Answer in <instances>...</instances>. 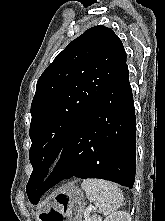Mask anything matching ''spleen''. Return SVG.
<instances>
[{
	"instance_id": "1",
	"label": "spleen",
	"mask_w": 165,
	"mask_h": 221,
	"mask_svg": "<svg viewBox=\"0 0 165 221\" xmlns=\"http://www.w3.org/2000/svg\"><path fill=\"white\" fill-rule=\"evenodd\" d=\"M81 188L90 202L99 206L100 212L107 216L123 205L124 198L120 188L111 182L99 179H86Z\"/></svg>"
}]
</instances>
